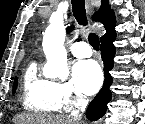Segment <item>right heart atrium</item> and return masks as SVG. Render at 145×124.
<instances>
[{
  "label": "right heart atrium",
  "instance_id": "1",
  "mask_svg": "<svg viewBox=\"0 0 145 124\" xmlns=\"http://www.w3.org/2000/svg\"><path fill=\"white\" fill-rule=\"evenodd\" d=\"M50 86L52 100L59 111H72L87 101L72 80L50 81Z\"/></svg>",
  "mask_w": 145,
  "mask_h": 124
}]
</instances>
